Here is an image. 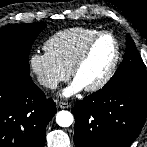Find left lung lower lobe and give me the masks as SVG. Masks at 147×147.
Instances as JSON below:
<instances>
[{"mask_svg": "<svg viewBox=\"0 0 147 147\" xmlns=\"http://www.w3.org/2000/svg\"><path fill=\"white\" fill-rule=\"evenodd\" d=\"M147 116V84L125 83L78 101L74 109L76 147H130Z\"/></svg>", "mask_w": 147, "mask_h": 147, "instance_id": "1", "label": "left lung lower lobe"}]
</instances>
